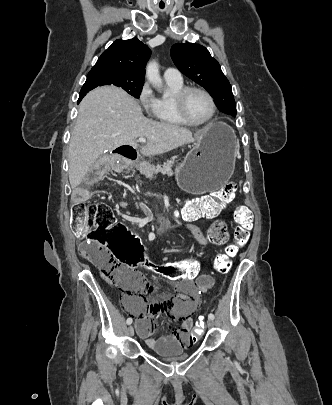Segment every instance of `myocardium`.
Returning <instances> with one entry per match:
<instances>
[{
    "label": "myocardium",
    "mask_w": 332,
    "mask_h": 405,
    "mask_svg": "<svg viewBox=\"0 0 332 405\" xmlns=\"http://www.w3.org/2000/svg\"><path fill=\"white\" fill-rule=\"evenodd\" d=\"M192 91H199V92L203 93L204 95L207 96V98L211 102L212 111H211L210 116L208 118H206L205 120L194 121L187 114L186 100H187L188 95ZM174 101H175V106H176V110H177L179 117L186 124L191 125V126H202V125L209 124L211 121H213V119L215 118L216 113H217V104H216V101H215L213 95L207 89L200 87V86H186V87L182 88L179 92H177L175 94Z\"/></svg>",
    "instance_id": "myocardium-1"
}]
</instances>
